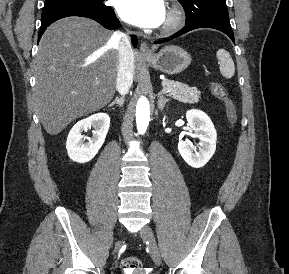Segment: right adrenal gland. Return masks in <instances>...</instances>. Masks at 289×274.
Masks as SVG:
<instances>
[{
  "label": "right adrenal gland",
  "mask_w": 289,
  "mask_h": 274,
  "mask_svg": "<svg viewBox=\"0 0 289 274\" xmlns=\"http://www.w3.org/2000/svg\"><path fill=\"white\" fill-rule=\"evenodd\" d=\"M118 105L119 107H122L124 104V97H116L115 100H113L108 107H112L113 105Z\"/></svg>",
  "instance_id": "obj_1"
}]
</instances>
